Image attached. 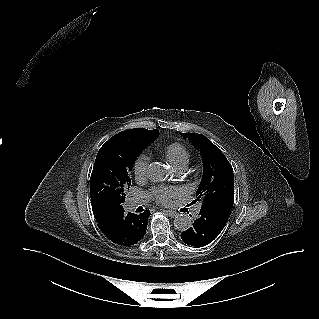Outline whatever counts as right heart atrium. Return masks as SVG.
<instances>
[{"instance_id":"obj_1","label":"right heart atrium","mask_w":319,"mask_h":319,"mask_svg":"<svg viewBox=\"0 0 319 319\" xmlns=\"http://www.w3.org/2000/svg\"><path fill=\"white\" fill-rule=\"evenodd\" d=\"M149 165V157L147 154H140L136 157L133 163V171L136 179L142 180L147 175Z\"/></svg>"}]
</instances>
